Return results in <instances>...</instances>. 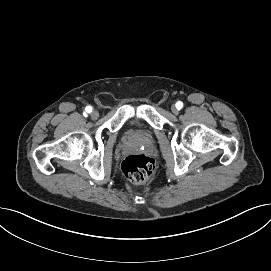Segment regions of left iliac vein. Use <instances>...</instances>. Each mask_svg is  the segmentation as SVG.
I'll return each instance as SVG.
<instances>
[{"label":"left iliac vein","instance_id":"left-iliac-vein-1","mask_svg":"<svg viewBox=\"0 0 271 271\" xmlns=\"http://www.w3.org/2000/svg\"><path fill=\"white\" fill-rule=\"evenodd\" d=\"M171 111L175 115L179 113V110H178V108L176 106H172Z\"/></svg>","mask_w":271,"mask_h":271}]
</instances>
